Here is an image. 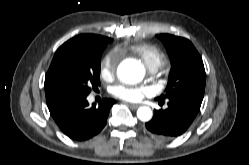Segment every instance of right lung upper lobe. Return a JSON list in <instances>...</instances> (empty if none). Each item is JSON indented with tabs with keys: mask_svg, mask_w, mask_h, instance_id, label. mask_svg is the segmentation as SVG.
Segmentation results:
<instances>
[{
	"mask_svg": "<svg viewBox=\"0 0 249 165\" xmlns=\"http://www.w3.org/2000/svg\"><path fill=\"white\" fill-rule=\"evenodd\" d=\"M74 38H76V39H87L89 41L96 42V43H101V44H104V45H107L112 40L111 38H108V37H103V36H100V35H93V34H83V35L76 36ZM45 92L49 93L48 91H45Z\"/></svg>",
	"mask_w": 249,
	"mask_h": 165,
	"instance_id": "right-lung-upper-lobe-1",
	"label": "right lung upper lobe"
}]
</instances>
